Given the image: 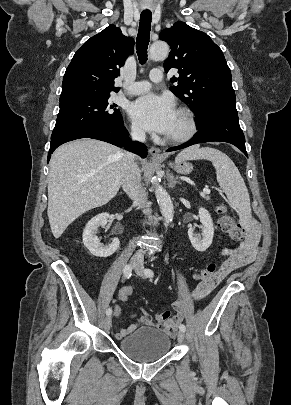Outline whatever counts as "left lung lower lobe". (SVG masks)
Segmentation results:
<instances>
[{"label": "left lung lower lobe", "mask_w": 291, "mask_h": 405, "mask_svg": "<svg viewBox=\"0 0 291 405\" xmlns=\"http://www.w3.org/2000/svg\"><path fill=\"white\" fill-rule=\"evenodd\" d=\"M198 129L199 132L190 141L167 151L180 150L198 143L221 141L235 145L248 157L237 110L231 108L217 109L211 114L205 125Z\"/></svg>", "instance_id": "obj_1"}]
</instances>
